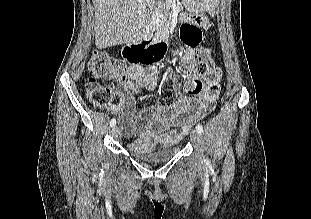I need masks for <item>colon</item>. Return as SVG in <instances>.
<instances>
[{
	"mask_svg": "<svg viewBox=\"0 0 311 219\" xmlns=\"http://www.w3.org/2000/svg\"><path fill=\"white\" fill-rule=\"evenodd\" d=\"M183 41L197 45L200 41V30L191 25H184L182 28ZM165 48L158 49L152 55H141L132 59L135 63L150 64L160 59ZM185 67L196 75H205L214 70L211 53L208 49L200 50L194 58L185 62ZM88 69L92 76L85 85L86 96L92 105L98 108H105L118 101V93L112 85L101 84L98 79L106 81H117L120 84H127L128 69L120 60L111 58L106 52L95 50L88 59ZM202 84L197 78L187 83V90L191 94L201 91Z\"/></svg>",
	"mask_w": 311,
	"mask_h": 219,
	"instance_id": "colon-1",
	"label": "colon"
}]
</instances>
